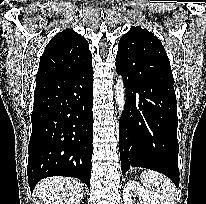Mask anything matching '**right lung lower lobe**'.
<instances>
[{"label":"right lung lower lobe","instance_id":"1","mask_svg":"<svg viewBox=\"0 0 206 204\" xmlns=\"http://www.w3.org/2000/svg\"><path fill=\"white\" fill-rule=\"evenodd\" d=\"M93 67L36 83L31 115L28 182L76 177L90 189L93 149Z\"/></svg>","mask_w":206,"mask_h":204}]
</instances>
